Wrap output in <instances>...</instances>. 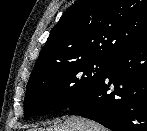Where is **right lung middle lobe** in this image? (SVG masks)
Returning a JSON list of instances; mask_svg holds the SVG:
<instances>
[{
	"instance_id": "1",
	"label": "right lung middle lobe",
	"mask_w": 147,
	"mask_h": 131,
	"mask_svg": "<svg viewBox=\"0 0 147 131\" xmlns=\"http://www.w3.org/2000/svg\"><path fill=\"white\" fill-rule=\"evenodd\" d=\"M110 63L107 59L81 60L30 77L24 116L72 106L104 78Z\"/></svg>"
}]
</instances>
